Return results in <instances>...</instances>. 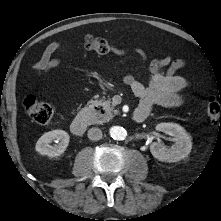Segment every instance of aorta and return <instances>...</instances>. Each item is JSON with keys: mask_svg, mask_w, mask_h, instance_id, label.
<instances>
[{"mask_svg": "<svg viewBox=\"0 0 221 221\" xmlns=\"http://www.w3.org/2000/svg\"><path fill=\"white\" fill-rule=\"evenodd\" d=\"M110 135L115 140H124L127 136V132L123 127L113 126L110 129Z\"/></svg>", "mask_w": 221, "mask_h": 221, "instance_id": "762f6f07", "label": "aorta"}]
</instances>
